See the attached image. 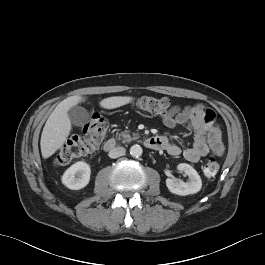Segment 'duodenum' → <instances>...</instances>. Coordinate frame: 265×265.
Wrapping results in <instances>:
<instances>
[{
    "label": "duodenum",
    "instance_id": "410a0bca",
    "mask_svg": "<svg viewBox=\"0 0 265 265\" xmlns=\"http://www.w3.org/2000/svg\"><path fill=\"white\" fill-rule=\"evenodd\" d=\"M144 143L148 148L154 150L163 149L165 146V141L160 136L150 137L146 139ZM115 146H116V141L114 139H109L104 144V150L109 152L113 150Z\"/></svg>",
    "mask_w": 265,
    "mask_h": 265
}]
</instances>
